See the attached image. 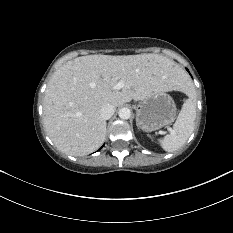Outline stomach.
<instances>
[{
    "instance_id": "stomach-1",
    "label": "stomach",
    "mask_w": 233,
    "mask_h": 233,
    "mask_svg": "<svg viewBox=\"0 0 233 233\" xmlns=\"http://www.w3.org/2000/svg\"><path fill=\"white\" fill-rule=\"evenodd\" d=\"M176 116L174 100L166 92L141 100L136 109V123L143 131L151 132L171 124Z\"/></svg>"
}]
</instances>
